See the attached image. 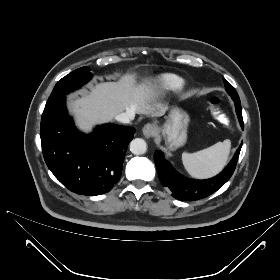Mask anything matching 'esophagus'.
<instances>
[{"label": "esophagus", "mask_w": 280, "mask_h": 280, "mask_svg": "<svg viewBox=\"0 0 280 280\" xmlns=\"http://www.w3.org/2000/svg\"><path fill=\"white\" fill-rule=\"evenodd\" d=\"M142 131L144 136L149 139L157 134L158 129L156 125L149 123L143 127Z\"/></svg>", "instance_id": "1"}]
</instances>
